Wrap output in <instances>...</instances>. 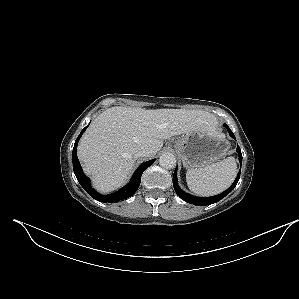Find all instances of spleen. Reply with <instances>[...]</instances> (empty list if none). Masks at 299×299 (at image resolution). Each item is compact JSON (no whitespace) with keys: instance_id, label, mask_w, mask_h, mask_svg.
I'll return each mask as SVG.
<instances>
[{"instance_id":"spleen-1","label":"spleen","mask_w":299,"mask_h":299,"mask_svg":"<svg viewBox=\"0 0 299 299\" xmlns=\"http://www.w3.org/2000/svg\"><path fill=\"white\" fill-rule=\"evenodd\" d=\"M237 165L234 157H228L200 169H188L186 181L189 189L200 196L221 193L234 181Z\"/></svg>"}]
</instances>
